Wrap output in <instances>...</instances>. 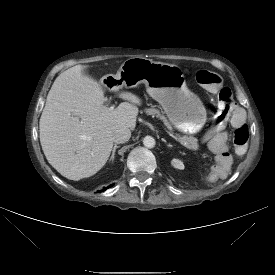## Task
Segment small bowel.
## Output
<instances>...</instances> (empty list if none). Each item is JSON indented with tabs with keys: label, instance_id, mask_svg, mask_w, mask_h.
I'll return each mask as SVG.
<instances>
[{
	"label": "small bowel",
	"instance_id": "1",
	"mask_svg": "<svg viewBox=\"0 0 275 275\" xmlns=\"http://www.w3.org/2000/svg\"><path fill=\"white\" fill-rule=\"evenodd\" d=\"M231 125L234 129L246 126L245 111L236 107L231 118ZM199 143L202 147L208 148V151L214 157V162L206 171V178L211 183L222 181L232 165V155L226 151L229 146V141L225 133L215 134L212 131H204L199 136Z\"/></svg>",
	"mask_w": 275,
	"mask_h": 275
}]
</instances>
